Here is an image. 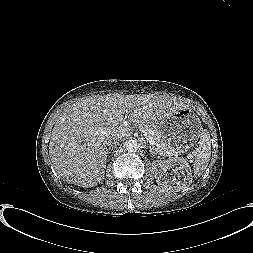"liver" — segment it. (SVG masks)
Segmentation results:
<instances>
[{
    "label": "liver",
    "instance_id": "6515ba94",
    "mask_svg": "<svg viewBox=\"0 0 253 253\" xmlns=\"http://www.w3.org/2000/svg\"><path fill=\"white\" fill-rule=\"evenodd\" d=\"M186 107L168 94L109 93L77 99L65 107L52 129V166L67 181L92 187L104 179L108 142L127 135L120 123L124 115L135 125L153 124Z\"/></svg>",
    "mask_w": 253,
    "mask_h": 253
}]
</instances>
